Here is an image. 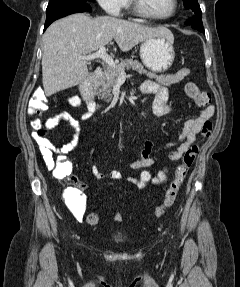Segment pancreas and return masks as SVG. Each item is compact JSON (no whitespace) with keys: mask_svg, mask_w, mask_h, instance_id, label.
Listing matches in <instances>:
<instances>
[{"mask_svg":"<svg viewBox=\"0 0 240 287\" xmlns=\"http://www.w3.org/2000/svg\"><path fill=\"white\" fill-rule=\"evenodd\" d=\"M125 69H132L140 74H146L148 77L155 78L159 83L166 86L179 83L190 73L189 70L183 69L174 75H157L145 70L144 66L138 60L125 59L115 67L108 66L104 70V76L99 80L98 85L95 88V93L98 98L103 99L108 103L112 100V88L115 85L121 70L125 71Z\"/></svg>","mask_w":240,"mask_h":287,"instance_id":"1","label":"pancreas"}]
</instances>
